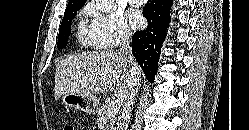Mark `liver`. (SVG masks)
Here are the masks:
<instances>
[{"label":"liver","instance_id":"6515ba94","mask_svg":"<svg viewBox=\"0 0 249 130\" xmlns=\"http://www.w3.org/2000/svg\"><path fill=\"white\" fill-rule=\"evenodd\" d=\"M135 64L140 81L142 70ZM129 77V68L120 52L103 50L68 56L56 65L55 100L67 93L106 94L116 87L115 96L121 105L128 91Z\"/></svg>","mask_w":249,"mask_h":130}]
</instances>
